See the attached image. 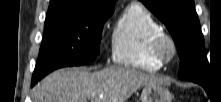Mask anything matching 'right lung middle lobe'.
Listing matches in <instances>:
<instances>
[{
    "label": "right lung middle lobe",
    "mask_w": 221,
    "mask_h": 102,
    "mask_svg": "<svg viewBox=\"0 0 221 102\" xmlns=\"http://www.w3.org/2000/svg\"><path fill=\"white\" fill-rule=\"evenodd\" d=\"M113 11L77 9L47 13L33 78L42 79L57 68L95 60L103 25Z\"/></svg>",
    "instance_id": "right-lung-middle-lobe-1"
}]
</instances>
